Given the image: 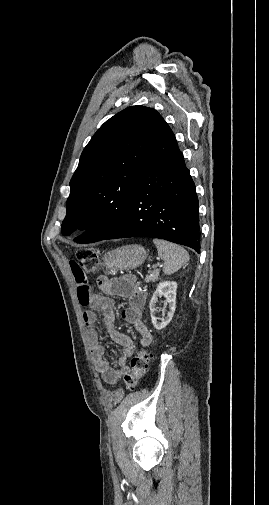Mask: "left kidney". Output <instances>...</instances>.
I'll return each mask as SVG.
<instances>
[{
	"label": "left kidney",
	"instance_id": "1",
	"mask_svg": "<svg viewBox=\"0 0 269 505\" xmlns=\"http://www.w3.org/2000/svg\"><path fill=\"white\" fill-rule=\"evenodd\" d=\"M176 290L177 283L174 281H164L160 282L157 286L156 291L153 293V296L149 303L151 320L154 328L157 330H161L165 328L174 315L176 309ZM164 296L166 298L165 305L169 307V311L167 312V316L163 317L158 321V318L155 314L156 312V303L159 297Z\"/></svg>",
	"mask_w": 269,
	"mask_h": 505
}]
</instances>
